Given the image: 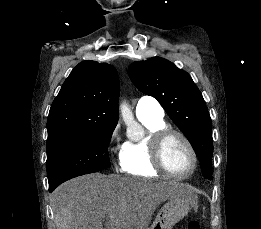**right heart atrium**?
<instances>
[{"instance_id":"1","label":"right heart atrium","mask_w":261,"mask_h":229,"mask_svg":"<svg viewBox=\"0 0 261 229\" xmlns=\"http://www.w3.org/2000/svg\"><path fill=\"white\" fill-rule=\"evenodd\" d=\"M117 135V128H115L112 132V139H114ZM117 165L118 166H122V159H121V155H119L118 159H117Z\"/></svg>"}]
</instances>
